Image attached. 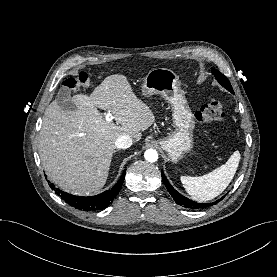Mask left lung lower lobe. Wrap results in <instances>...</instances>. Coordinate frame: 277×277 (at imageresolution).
Segmentation results:
<instances>
[{
    "label": "left lung lower lobe",
    "instance_id": "left-lung-lower-lobe-1",
    "mask_svg": "<svg viewBox=\"0 0 277 277\" xmlns=\"http://www.w3.org/2000/svg\"><path fill=\"white\" fill-rule=\"evenodd\" d=\"M162 179H163V183L166 185L169 193L172 195V197L174 198L175 202L180 205V206H184L186 208L189 209H204L207 207H210L216 203H218L221 199L212 202V203H196L194 201H191L190 199L182 196L181 194H179L168 182L167 178L165 177V175L162 172ZM224 198V196L222 197Z\"/></svg>",
    "mask_w": 277,
    "mask_h": 277
}]
</instances>
